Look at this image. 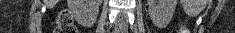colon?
<instances>
[{
  "mask_svg": "<svg viewBox=\"0 0 235 33\" xmlns=\"http://www.w3.org/2000/svg\"><path fill=\"white\" fill-rule=\"evenodd\" d=\"M56 33H77L78 29L73 23V18L66 10L61 11L57 17Z\"/></svg>",
  "mask_w": 235,
  "mask_h": 33,
  "instance_id": "obj_1",
  "label": "colon"
}]
</instances>
